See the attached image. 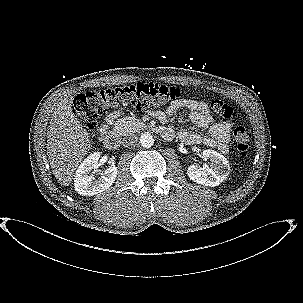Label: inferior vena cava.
I'll list each match as a JSON object with an SVG mask.
<instances>
[{"label":"inferior vena cava","mask_w":303,"mask_h":303,"mask_svg":"<svg viewBox=\"0 0 303 303\" xmlns=\"http://www.w3.org/2000/svg\"><path fill=\"white\" fill-rule=\"evenodd\" d=\"M137 141V136L132 133H129L124 137L123 144L126 147H132L137 144Z\"/></svg>","instance_id":"obj_1"}]
</instances>
